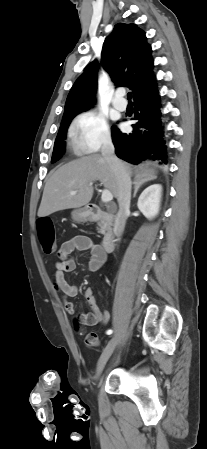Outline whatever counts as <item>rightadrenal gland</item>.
<instances>
[{"label":"right adrenal gland","instance_id":"obj_1","mask_svg":"<svg viewBox=\"0 0 207 449\" xmlns=\"http://www.w3.org/2000/svg\"><path fill=\"white\" fill-rule=\"evenodd\" d=\"M153 179H156V176L153 177ZM146 181H141L138 177H135L133 185H134V193L133 198L136 196L139 188L145 183Z\"/></svg>","mask_w":207,"mask_h":449}]
</instances>
